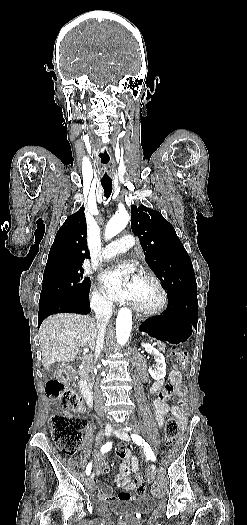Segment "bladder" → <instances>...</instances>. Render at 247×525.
Instances as JSON below:
<instances>
[{
  "label": "bladder",
  "mask_w": 247,
  "mask_h": 525,
  "mask_svg": "<svg viewBox=\"0 0 247 525\" xmlns=\"http://www.w3.org/2000/svg\"><path fill=\"white\" fill-rule=\"evenodd\" d=\"M156 504L155 496L147 492L133 498L113 499L110 512L121 518H130L146 515Z\"/></svg>",
  "instance_id": "obj_1"
}]
</instances>
